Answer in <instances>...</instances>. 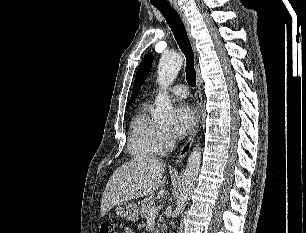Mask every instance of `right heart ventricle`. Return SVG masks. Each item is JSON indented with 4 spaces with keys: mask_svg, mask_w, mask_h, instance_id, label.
<instances>
[{
    "mask_svg": "<svg viewBox=\"0 0 306 233\" xmlns=\"http://www.w3.org/2000/svg\"><path fill=\"white\" fill-rule=\"evenodd\" d=\"M160 131L154 126L149 116V105L145 104L133 117L127 150L130 156L138 160H147L159 155Z\"/></svg>",
    "mask_w": 306,
    "mask_h": 233,
    "instance_id": "1",
    "label": "right heart ventricle"
}]
</instances>
